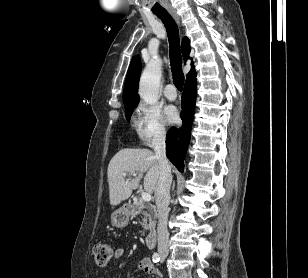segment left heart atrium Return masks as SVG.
<instances>
[{"label":"left heart atrium","instance_id":"left-heart-atrium-1","mask_svg":"<svg viewBox=\"0 0 308 278\" xmlns=\"http://www.w3.org/2000/svg\"><path fill=\"white\" fill-rule=\"evenodd\" d=\"M165 114H166V117H167V120L170 122V123H175L178 121L179 119V113H178V110L176 107L170 105V106H167L166 109H165Z\"/></svg>","mask_w":308,"mask_h":278}]
</instances>
